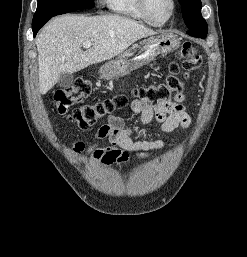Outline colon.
<instances>
[{
	"mask_svg": "<svg viewBox=\"0 0 247 257\" xmlns=\"http://www.w3.org/2000/svg\"><path fill=\"white\" fill-rule=\"evenodd\" d=\"M177 56L181 58L184 76L200 67L201 58L197 48L190 42H185ZM184 90V81L180 76V66L171 63L165 80L158 84L137 87L133 91L134 97L143 104L155 106L168 101L173 93H181ZM92 94V85L84 79L76 80L71 86L56 91L53 102L59 114H67L68 120L73 122L81 130L93 127L102 122L114 111L127 105L125 95H116L113 98L82 104L77 108L73 106L82 103ZM72 109V110H71Z\"/></svg>",
	"mask_w": 247,
	"mask_h": 257,
	"instance_id": "5ec220e1",
	"label": "colon"
}]
</instances>
